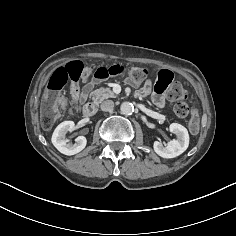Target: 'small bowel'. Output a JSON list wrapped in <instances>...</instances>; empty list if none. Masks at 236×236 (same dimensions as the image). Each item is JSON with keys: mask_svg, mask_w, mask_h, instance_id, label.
Segmentation results:
<instances>
[{"mask_svg": "<svg viewBox=\"0 0 236 236\" xmlns=\"http://www.w3.org/2000/svg\"><path fill=\"white\" fill-rule=\"evenodd\" d=\"M161 71L162 70L157 72V79ZM93 87H94V82H88L82 87V89H79L78 87L76 89H72L71 91L72 99L75 101L84 102L87 99ZM150 88H151L150 82H146L144 86L140 89L139 94L142 96L147 95L150 92ZM152 99L157 106L162 107L165 104L164 93H157L154 91Z\"/></svg>", "mask_w": 236, "mask_h": 236, "instance_id": "c3829d8e", "label": "small bowel"}]
</instances>
